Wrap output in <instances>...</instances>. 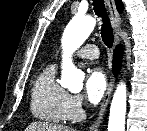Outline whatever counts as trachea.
<instances>
[{
	"label": "trachea",
	"mask_w": 147,
	"mask_h": 131,
	"mask_svg": "<svg viewBox=\"0 0 147 131\" xmlns=\"http://www.w3.org/2000/svg\"><path fill=\"white\" fill-rule=\"evenodd\" d=\"M93 6L95 14L98 15V17H101L103 21L101 27L102 40L107 47L111 48L114 42V35L104 5V0H93Z\"/></svg>",
	"instance_id": "3493384b"
}]
</instances>
